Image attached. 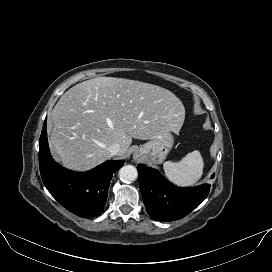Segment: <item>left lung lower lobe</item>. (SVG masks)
Segmentation results:
<instances>
[{
    "mask_svg": "<svg viewBox=\"0 0 272 272\" xmlns=\"http://www.w3.org/2000/svg\"><path fill=\"white\" fill-rule=\"evenodd\" d=\"M137 170L146 210L151 218L158 221L183 218L207 197L210 190L208 184L192 188L177 187L169 183L157 170L143 164H139Z\"/></svg>",
    "mask_w": 272,
    "mask_h": 272,
    "instance_id": "left-lung-lower-lobe-1",
    "label": "left lung lower lobe"
}]
</instances>
